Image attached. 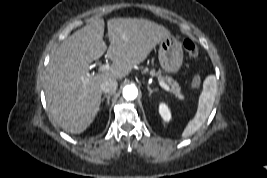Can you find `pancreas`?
Wrapping results in <instances>:
<instances>
[{
	"mask_svg": "<svg viewBox=\"0 0 267 178\" xmlns=\"http://www.w3.org/2000/svg\"><path fill=\"white\" fill-rule=\"evenodd\" d=\"M151 74L156 75L158 77L159 81H163L167 85L171 86V92L176 98H178V99L184 98V96L181 93V90H180L178 83L176 81H174L171 77L162 76L160 71H158L156 73L154 70L151 71Z\"/></svg>",
	"mask_w": 267,
	"mask_h": 178,
	"instance_id": "obj_1",
	"label": "pancreas"
}]
</instances>
